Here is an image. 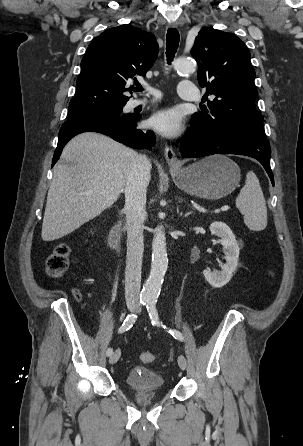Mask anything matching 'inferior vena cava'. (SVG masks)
<instances>
[{
    "mask_svg": "<svg viewBox=\"0 0 303 446\" xmlns=\"http://www.w3.org/2000/svg\"><path fill=\"white\" fill-rule=\"evenodd\" d=\"M151 163L145 155H138L124 189L127 230V260L125 269V299L138 302L141 266L144 251L143 230L146 216V190Z\"/></svg>",
    "mask_w": 303,
    "mask_h": 446,
    "instance_id": "inferior-vena-cava-1",
    "label": "inferior vena cava"
}]
</instances>
